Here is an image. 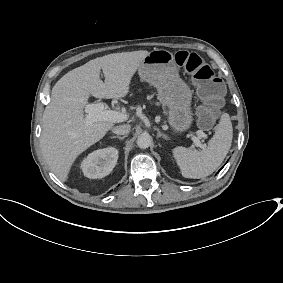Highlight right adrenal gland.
<instances>
[{"label":"right adrenal gland","mask_w":283,"mask_h":283,"mask_svg":"<svg viewBox=\"0 0 283 283\" xmlns=\"http://www.w3.org/2000/svg\"><path fill=\"white\" fill-rule=\"evenodd\" d=\"M126 137H127V135H124V136H122V137H121V136H118V135H117V136H111V138H119V139H121V140L124 139V138H126Z\"/></svg>","instance_id":"2a0ac1e0"}]
</instances>
